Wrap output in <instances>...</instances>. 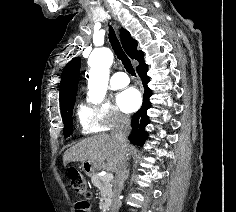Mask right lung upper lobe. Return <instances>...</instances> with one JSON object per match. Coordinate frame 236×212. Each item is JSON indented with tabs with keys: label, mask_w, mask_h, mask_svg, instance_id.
I'll use <instances>...</instances> for the list:
<instances>
[{
	"label": "right lung upper lobe",
	"mask_w": 236,
	"mask_h": 212,
	"mask_svg": "<svg viewBox=\"0 0 236 212\" xmlns=\"http://www.w3.org/2000/svg\"><path fill=\"white\" fill-rule=\"evenodd\" d=\"M121 43L124 50L130 58L136 59L139 62L144 59V53L137 50V42L134 40L130 33L122 28L120 32ZM80 71V59L73 58L64 68L61 75L60 83V107L70 99L76 97L77 85Z\"/></svg>",
	"instance_id": "1"
}]
</instances>
